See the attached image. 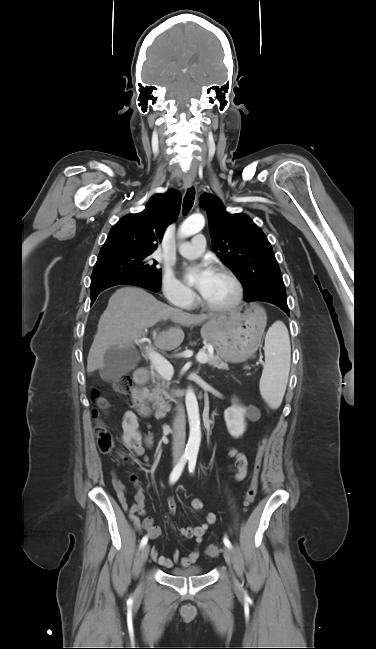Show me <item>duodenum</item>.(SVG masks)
Returning a JSON list of instances; mask_svg holds the SVG:
<instances>
[{
    "label": "duodenum",
    "instance_id": "1",
    "mask_svg": "<svg viewBox=\"0 0 376 649\" xmlns=\"http://www.w3.org/2000/svg\"><path fill=\"white\" fill-rule=\"evenodd\" d=\"M148 378V370L146 368H139L135 371L133 376L134 387L131 391L132 401L135 406L143 413L148 414L149 410L144 406L141 394V387L146 383ZM185 394L182 389L175 390L173 395L176 398H181ZM164 413V410H161Z\"/></svg>",
    "mask_w": 376,
    "mask_h": 649
}]
</instances>
